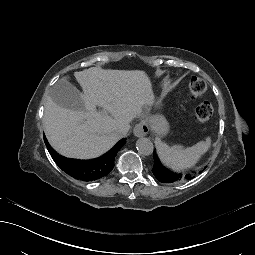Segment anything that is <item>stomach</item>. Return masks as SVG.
Wrapping results in <instances>:
<instances>
[{
	"mask_svg": "<svg viewBox=\"0 0 255 255\" xmlns=\"http://www.w3.org/2000/svg\"><path fill=\"white\" fill-rule=\"evenodd\" d=\"M144 129L150 128L158 135H164L169 130V124L166 119L161 115H153L148 118V120L142 121Z\"/></svg>",
	"mask_w": 255,
	"mask_h": 255,
	"instance_id": "stomach-1",
	"label": "stomach"
}]
</instances>
